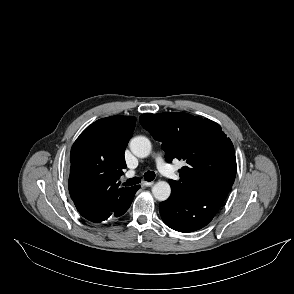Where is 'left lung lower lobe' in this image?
Returning a JSON list of instances; mask_svg holds the SVG:
<instances>
[{"label": "left lung lower lobe", "mask_w": 294, "mask_h": 294, "mask_svg": "<svg viewBox=\"0 0 294 294\" xmlns=\"http://www.w3.org/2000/svg\"><path fill=\"white\" fill-rule=\"evenodd\" d=\"M171 189V196L159 204V211L163 222L179 232H192L206 226L227 196L222 193L190 194Z\"/></svg>", "instance_id": "1"}]
</instances>
